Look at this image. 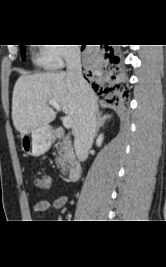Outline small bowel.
<instances>
[{"label":"small bowel","mask_w":166,"mask_h":267,"mask_svg":"<svg viewBox=\"0 0 166 267\" xmlns=\"http://www.w3.org/2000/svg\"><path fill=\"white\" fill-rule=\"evenodd\" d=\"M67 200H68L67 196L65 195L56 196L52 200H43V201L38 202L35 205L34 211L37 213H42V212H46L50 208L59 210V209H62L66 205Z\"/></svg>","instance_id":"small-bowel-1"}]
</instances>
